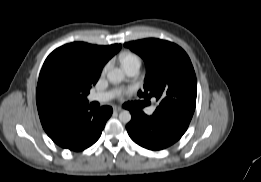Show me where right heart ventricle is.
I'll return each mask as SVG.
<instances>
[{
    "label": "right heart ventricle",
    "instance_id": "right-heart-ventricle-1",
    "mask_svg": "<svg viewBox=\"0 0 261 182\" xmlns=\"http://www.w3.org/2000/svg\"><path fill=\"white\" fill-rule=\"evenodd\" d=\"M120 61L123 68L134 64L140 65L141 63L140 57L132 52L123 53L120 57Z\"/></svg>",
    "mask_w": 261,
    "mask_h": 182
}]
</instances>
